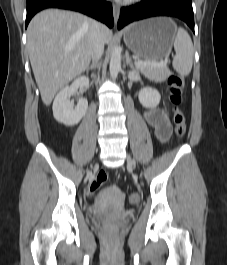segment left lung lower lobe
<instances>
[{"label":"left lung lower lobe","instance_id":"obj_1","mask_svg":"<svg viewBox=\"0 0 227 265\" xmlns=\"http://www.w3.org/2000/svg\"><path fill=\"white\" fill-rule=\"evenodd\" d=\"M153 16H172L185 21L194 32L192 0H143L121 9L118 29L128 23Z\"/></svg>","mask_w":227,"mask_h":265}]
</instances>
